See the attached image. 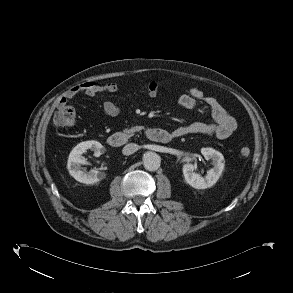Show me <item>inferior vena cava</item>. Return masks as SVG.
<instances>
[{"label": "inferior vena cava", "instance_id": "602c4592", "mask_svg": "<svg viewBox=\"0 0 293 293\" xmlns=\"http://www.w3.org/2000/svg\"><path fill=\"white\" fill-rule=\"evenodd\" d=\"M139 149V146L135 143H129L124 146L122 153L124 155H131Z\"/></svg>", "mask_w": 293, "mask_h": 293}]
</instances>
